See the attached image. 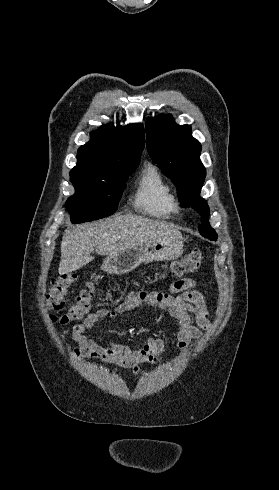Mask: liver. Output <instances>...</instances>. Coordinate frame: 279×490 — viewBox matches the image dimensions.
Masks as SVG:
<instances>
[{
    "mask_svg": "<svg viewBox=\"0 0 279 490\" xmlns=\"http://www.w3.org/2000/svg\"><path fill=\"white\" fill-rule=\"evenodd\" d=\"M181 236L167 222H154L139 216H119L94 224L77 226L64 234L61 242V262L58 274H70L93 262V250L100 256L119 254L128 248H137L145 242Z\"/></svg>",
    "mask_w": 279,
    "mask_h": 490,
    "instance_id": "1",
    "label": "liver"
}]
</instances>
